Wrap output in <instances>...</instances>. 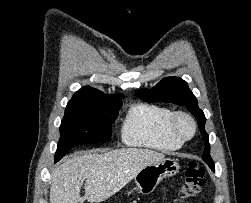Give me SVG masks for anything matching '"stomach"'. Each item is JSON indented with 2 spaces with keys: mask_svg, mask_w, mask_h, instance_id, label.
Listing matches in <instances>:
<instances>
[{
  "mask_svg": "<svg viewBox=\"0 0 251 203\" xmlns=\"http://www.w3.org/2000/svg\"><path fill=\"white\" fill-rule=\"evenodd\" d=\"M179 168L177 160L173 158H165L162 161L150 164L134 177L136 189L142 194H149L163 178L176 175Z\"/></svg>",
  "mask_w": 251,
  "mask_h": 203,
  "instance_id": "0dacf381",
  "label": "stomach"
}]
</instances>
